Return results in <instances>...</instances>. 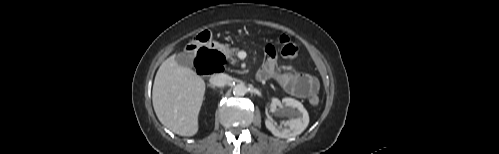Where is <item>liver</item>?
Masks as SVG:
<instances>
[{"label": "liver", "mask_w": 499, "mask_h": 154, "mask_svg": "<svg viewBox=\"0 0 499 154\" xmlns=\"http://www.w3.org/2000/svg\"><path fill=\"white\" fill-rule=\"evenodd\" d=\"M205 94V82L192 69L179 65L175 56L159 67L152 90L154 111L159 121L180 136L198 132V115Z\"/></svg>", "instance_id": "6515ba94"}]
</instances>
